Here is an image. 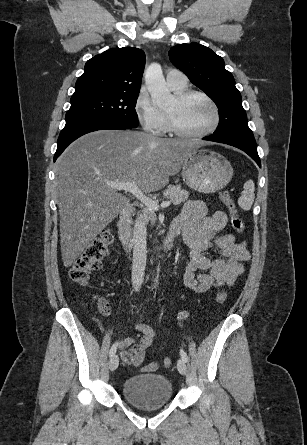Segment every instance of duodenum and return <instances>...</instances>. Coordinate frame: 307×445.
I'll return each instance as SVG.
<instances>
[{
  "instance_id": "obj_1",
  "label": "duodenum",
  "mask_w": 307,
  "mask_h": 445,
  "mask_svg": "<svg viewBox=\"0 0 307 445\" xmlns=\"http://www.w3.org/2000/svg\"><path fill=\"white\" fill-rule=\"evenodd\" d=\"M132 213L133 208L131 205L126 206L120 213L118 221V233L119 238L125 248H129L131 245L132 238ZM179 232L174 228L170 227L168 235L166 236L163 243L155 248L162 252H167L172 249L176 237Z\"/></svg>"
}]
</instances>
